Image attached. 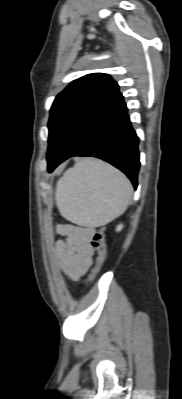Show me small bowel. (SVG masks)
Masks as SVG:
<instances>
[{"label": "small bowel", "instance_id": "c3829d8e", "mask_svg": "<svg viewBox=\"0 0 182 399\" xmlns=\"http://www.w3.org/2000/svg\"><path fill=\"white\" fill-rule=\"evenodd\" d=\"M95 230L93 226L73 224L56 226V232L65 239L55 242V264L71 282L78 281L92 265L94 255L92 238Z\"/></svg>", "mask_w": 182, "mask_h": 399}]
</instances>
